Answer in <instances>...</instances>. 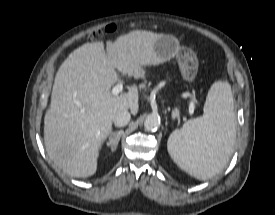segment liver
<instances>
[{"label":"liver","mask_w":275,"mask_h":215,"mask_svg":"<svg viewBox=\"0 0 275 215\" xmlns=\"http://www.w3.org/2000/svg\"><path fill=\"white\" fill-rule=\"evenodd\" d=\"M162 34L135 30L115 42L86 43L75 49L57 71L50 108L44 117V142L49 158L71 177L92 176L103 142L112 132L114 116L138 111V89L115 96L116 69L145 78V66L164 61L154 50Z\"/></svg>","instance_id":"6515ba94"}]
</instances>
